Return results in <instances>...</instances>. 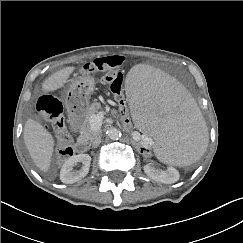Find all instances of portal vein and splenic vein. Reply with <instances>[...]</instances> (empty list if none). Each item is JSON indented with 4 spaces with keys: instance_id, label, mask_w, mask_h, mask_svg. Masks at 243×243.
<instances>
[{
    "instance_id": "portal-vein-and-splenic-vein-1",
    "label": "portal vein and splenic vein",
    "mask_w": 243,
    "mask_h": 243,
    "mask_svg": "<svg viewBox=\"0 0 243 243\" xmlns=\"http://www.w3.org/2000/svg\"><path fill=\"white\" fill-rule=\"evenodd\" d=\"M103 118H104V114L102 112H99L98 114L92 115L91 118H90L91 127L94 130L99 129L100 126H101Z\"/></svg>"
}]
</instances>
